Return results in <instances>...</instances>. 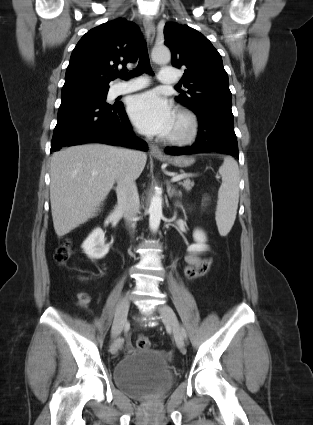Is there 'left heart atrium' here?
Masks as SVG:
<instances>
[{
	"label": "left heart atrium",
	"instance_id": "1",
	"mask_svg": "<svg viewBox=\"0 0 313 425\" xmlns=\"http://www.w3.org/2000/svg\"><path fill=\"white\" fill-rule=\"evenodd\" d=\"M128 113L137 129L148 135H168L175 121L171 104L154 91L132 97Z\"/></svg>",
	"mask_w": 313,
	"mask_h": 425
}]
</instances>
